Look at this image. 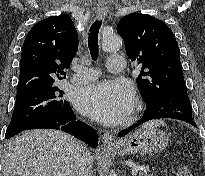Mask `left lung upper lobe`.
Segmentation results:
<instances>
[{
  "label": "left lung upper lobe",
  "mask_w": 205,
  "mask_h": 176,
  "mask_svg": "<svg viewBox=\"0 0 205 176\" xmlns=\"http://www.w3.org/2000/svg\"><path fill=\"white\" fill-rule=\"evenodd\" d=\"M117 32L128 58L142 65L137 81L146 102L170 88H186L175 36L163 21L132 13L119 21Z\"/></svg>",
  "instance_id": "left-lung-upper-lobe-1"
}]
</instances>
